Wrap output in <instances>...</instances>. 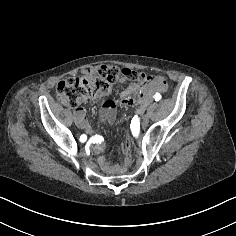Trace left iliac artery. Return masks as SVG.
Returning <instances> with one entry per match:
<instances>
[{"instance_id":"left-iliac-artery-1","label":"left iliac artery","mask_w":236,"mask_h":236,"mask_svg":"<svg viewBox=\"0 0 236 236\" xmlns=\"http://www.w3.org/2000/svg\"><path fill=\"white\" fill-rule=\"evenodd\" d=\"M154 99H155L156 101H159V100L161 99L160 93H156V94L154 95Z\"/></svg>"}]
</instances>
